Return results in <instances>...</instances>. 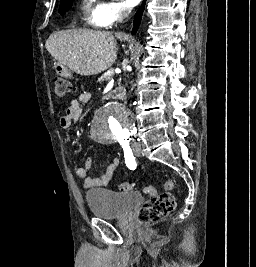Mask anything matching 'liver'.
<instances>
[{
	"label": "liver",
	"instance_id": "1",
	"mask_svg": "<svg viewBox=\"0 0 256 267\" xmlns=\"http://www.w3.org/2000/svg\"><path fill=\"white\" fill-rule=\"evenodd\" d=\"M128 40V36H117ZM46 50L61 66L80 76H93L113 66L117 58L115 36L95 30H61L52 32Z\"/></svg>",
	"mask_w": 256,
	"mask_h": 267
}]
</instances>
